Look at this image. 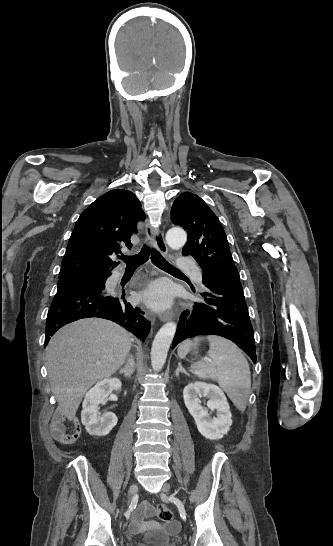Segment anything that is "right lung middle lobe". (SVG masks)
Listing matches in <instances>:
<instances>
[{
  "label": "right lung middle lobe",
  "instance_id": "right-lung-middle-lobe-1",
  "mask_svg": "<svg viewBox=\"0 0 333 546\" xmlns=\"http://www.w3.org/2000/svg\"><path fill=\"white\" fill-rule=\"evenodd\" d=\"M107 277L108 276L106 275H99V276L60 280L58 282L57 293L64 292L67 290L82 289V288L105 289V282Z\"/></svg>",
  "mask_w": 333,
  "mask_h": 546
}]
</instances>
